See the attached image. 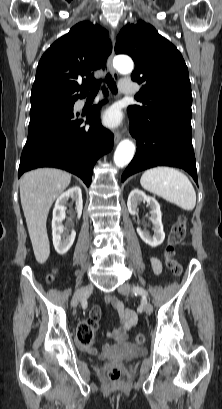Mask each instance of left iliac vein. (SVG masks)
I'll return each mask as SVG.
<instances>
[{"mask_svg": "<svg viewBox=\"0 0 222 409\" xmlns=\"http://www.w3.org/2000/svg\"><path fill=\"white\" fill-rule=\"evenodd\" d=\"M132 286L129 283H123L118 287V292L123 295H130L131 294ZM143 309L147 315H150L153 311V306L147 299L144 298L143 300Z\"/></svg>", "mask_w": 222, "mask_h": 409, "instance_id": "left-iliac-vein-1", "label": "left iliac vein"}]
</instances>
